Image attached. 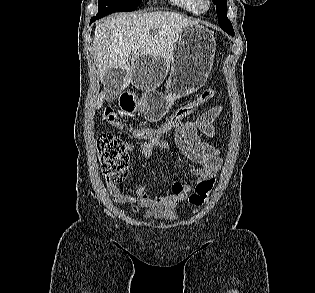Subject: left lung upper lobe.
Segmentation results:
<instances>
[{"label":"left lung upper lobe","mask_w":315,"mask_h":293,"mask_svg":"<svg viewBox=\"0 0 315 293\" xmlns=\"http://www.w3.org/2000/svg\"><path fill=\"white\" fill-rule=\"evenodd\" d=\"M216 5L219 26L231 36H234V30L231 22L227 18V3L226 0H212Z\"/></svg>","instance_id":"1"}]
</instances>
